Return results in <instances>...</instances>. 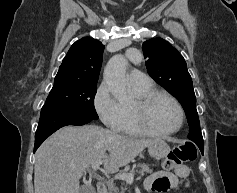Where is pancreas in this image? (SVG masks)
<instances>
[{
  "instance_id": "obj_1",
  "label": "pancreas",
  "mask_w": 237,
  "mask_h": 193,
  "mask_svg": "<svg viewBox=\"0 0 237 193\" xmlns=\"http://www.w3.org/2000/svg\"><path fill=\"white\" fill-rule=\"evenodd\" d=\"M138 170H135V168H133L130 172L131 173H135L137 172L138 174H140L141 176H144L145 173H151L152 170L149 168V165L146 164H138L137 165ZM108 193H125V191L127 190L125 184L122 182L121 185L118 187L116 186V184L114 182H110L108 184Z\"/></svg>"
}]
</instances>
